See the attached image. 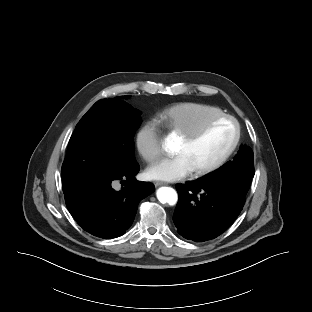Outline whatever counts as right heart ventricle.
Here are the masks:
<instances>
[{"label":"right heart ventricle","mask_w":312,"mask_h":312,"mask_svg":"<svg viewBox=\"0 0 312 312\" xmlns=\"http://www.w3.org/2000/svg\"><path fill=\"white\" fill-rule=\"evenodd\" d=\"M222 113L215 106L185 102L166 108L159 114V119L169 130L184 135L196 130L207 119Z\"/></svg>","instance_id":"right-heart-ventricle-1"}]
</instances>
